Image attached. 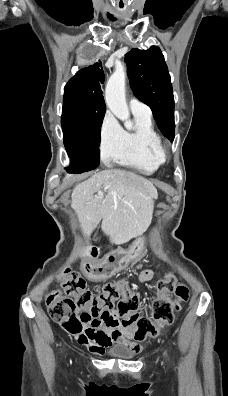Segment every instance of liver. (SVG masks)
Returning a JSON list of instances; mask_svg holds the SVG:
<instances>
[{
  "instance_id": "obj_1",
  "label": "liver",
  "mask_w": 228,
  "mask_h": 396,
  "mask_svg": "<svg viewBox=\"0 0 228 396\" xmlns=\"http://www.w3.org/2000/svg\"><path fill=\"white\" fill-rule=\"evenodd\" d=\"M100 189L106 194L96 195ZM157 196V189L149 180L124 170L109 169L76 185L71 195V207L86 237L102 220L103 229L120 242L146 231Z\"/></svg>"
}]
</instances>
